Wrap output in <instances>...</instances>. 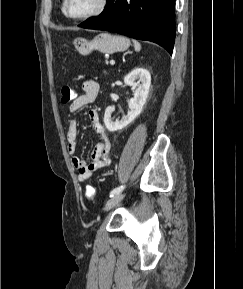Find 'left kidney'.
Here are the masks:
<instances>
[{"mask_svg":"<svg viewBox=\"0 0 243 289\" xmlns=\"http://www.w3.org/2000/svg\"><path fill=\"white\" fill-rule=\"evenodd\" d=\"M124 83L134 89V97L128 102L130 110L121 120L113 121L111 119V115L115 110L113 106L106 108L104 114V124L110 132L123 129L138 115H140L148 97L151 84V75L146 69L136 68L124 78Z\"/></svg>","mask_w":243,"mask_h":289,"instance_id":"left-kidney-1","label":"left kidney"}]
</instances>
